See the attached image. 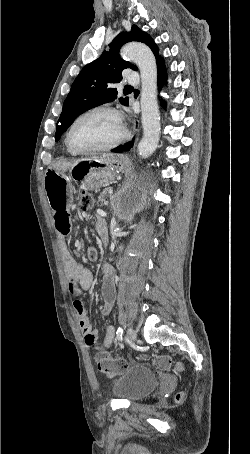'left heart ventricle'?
<instances>
[{
  "label": "left heart ventricle",
  "mask_w": 250,
  "mask_h": 454,
  "mask_svg": "<svg viewBox=\"0 0 250 454\" xmlns=\"http://www.w3.org/2000/svg\"><path fill=\"white\" fill-rule=\"evenodd\" d=\"M120 134V122L114 114L96 112L83 118L75 126L72 142L78 148L88 149L106 145Z\"/></svg>",
  "instance_id": "left-heart-ventricle-1"
}]
</instances>
